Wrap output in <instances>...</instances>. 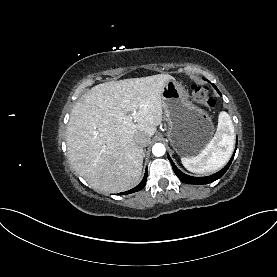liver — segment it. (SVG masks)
I'll return each mask as SVG.
<instances>
[{"mask_svg":"<svg viewBox=\"0 0 277 277\" xmlns=\"http://www.w3.org/2000/svg\"><path fill=\"white\" fill-rule=\"evenodd\" d=\"M168 74L98 84L73 107L66 144L70 163L89 185L118 193L136 186L144 152L138 133L149 139L162 121V90Z\"/></svg>","mask_w":277,"mask_h":277,"instance_id":"obj_1","label":"liver"}]
</instances>
